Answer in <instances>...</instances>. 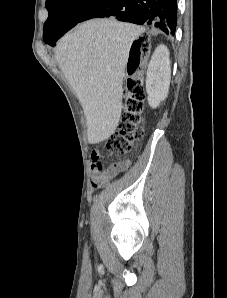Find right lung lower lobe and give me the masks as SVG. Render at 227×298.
Returning a JSON list of instances; mask_svg holds the SVG:
<instances>
[{
    "label": "right lung lower lobe",
    "mask_w": 227,
    "mask_h": 298,
    "mask_svg": "<svg viewBox=\"0 0 227 298\" xmlns=\"http://www.w3.org/2000/svg\"><path fill=\"white\" fill-rule=\"evenodd\" d=\"M176 15L177 0H100L80 22L96 17H112L139 25H154L174 35ZM66 32H53L46 43L54 46Z\"/></svg>",
    "instance_id": "98d812e1"
}]
</instances>
